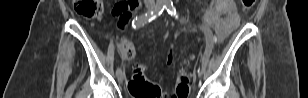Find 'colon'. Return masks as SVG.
Returning <instances> with one entry per match:
<instances>
[{"label": "colon", "mask_w": 308, "mask_h": 98, "mask_svg": "<svg viewBox=\"0 0 308 98\" xmlns=\"http://www.w3.org/2000/svg\"><path fill=\"white\" fill-rule=\"evenodd\" d=\"M136 0L119 1L113 8V14L120 19L118 29L125 31V25L130 18V9H132ZM256 0H242L244 12H248L255 4ZM74 8L76 13L85 20H92L98 18L103 13V4L101 0H75ZM119 50L126 60L133 57V48L128 40L122 38L118 43ZM169 63L171 65L175 62V54H169ZM189 60L183 62V66L179 70L178 76L174 83V97L185 98L188 94L189 78L187 76L185 67L188 65ZM144 65L137 64L134 67L132 80L129 82V88L133 96L136 98H159L161 95L160 89L145 79L143 76Z\"/></svg>", "instance_id": "5ec220e1"}]
</instances>
